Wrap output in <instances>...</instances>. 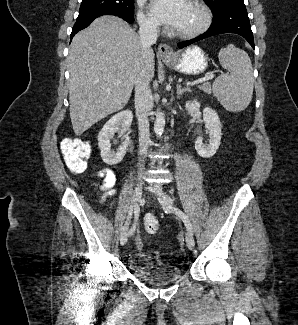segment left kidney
Wrapping results in <instances>:
<instances>
[{"mask_svg": "<svg viewBox=\"0 0 298 325\" xmlns=\"http://www.w3.org/2000/svg\"><path fill=\"white\" fill-rule=\"evenodd\" d=\"M184 106L188 112H195V110H200L201 102L197 98H193V100H186ZM203 120L205 122L206 132L209 134V144H203L202 136H197L195 148L203 158H211L220 146L222 124L218 112L214 108H211V106H204Z\"/></svg>", "mask_w": 298, "mask_h": 325, "instance_id": "5707ae66", "label": "left kidney"}]
</instances>
